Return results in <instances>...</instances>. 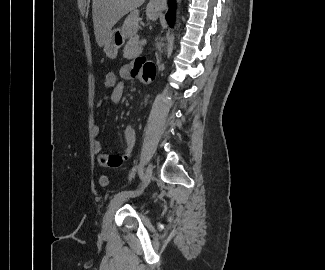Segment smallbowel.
I'll return each instance as SVG.
<instances>
[{
  "mask_svg": "<svg viewBox=\"0 0 325 270\" xmlns=\"http://www.w3.org/2000/svg\"><path fill=\"white\" fill-rule=\"evenodd\" d=\"M156 72V65L144 57L137 58L134 65L128 64L123 66L120 70L121 79H118L119 85L117 90H111L109 94L105 95L99 102L98 106H101L106 101H110L114 104L119 103L124 94V80H131L141 75L144 80L150 81L155 78ZM99 133L100 127L95 125L93 127V135L97 137ZM123 137L125 141V150L122 155L106 154L102 150L101 142L99 140L94 142V153L100 165L118 167L124 160L130 157L134 149L136 139L134 128L130 125L126 126L123 130Z\"/></svg>",
  "mask_w": 325,
  "mask_h": 270,
  "instance_id": "c3829d8e",
  "label": "small bowel"
}]
</instances>
